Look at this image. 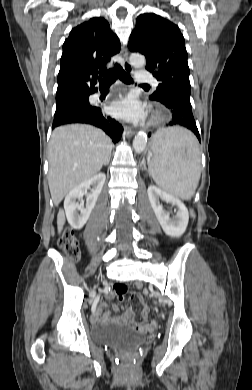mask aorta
Masks as SVG:
<instances>
[{"mask_svg": "<svg viewBox=\"0 0 252 390\" xmlns=\"http://www.w3.org/2000/svg\"><path fill=\"white\" fill-rule=\"evenodd\" d=\"M130 64L134 67H144L145 57L140 54H132L129 58ZM147 144V135L144 132H139L133 140V148L136 153H141Z\"/></svg>", "mask_w": 252, "mask_h": 390, "instance_id": "obj_1", "label": "aorta"}]
</instances>
